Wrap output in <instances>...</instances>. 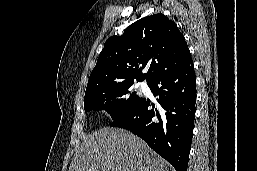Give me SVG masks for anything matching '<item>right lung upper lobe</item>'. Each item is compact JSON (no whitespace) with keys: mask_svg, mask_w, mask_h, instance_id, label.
<instances>
[{"mask_svg":"<svg viewBox=\"0 0 257 171\" xmlns=\"http://www.w3.org/2000/svg\"><path fill=\"white\" fill-rule=\"evenodd\" d=\"M191 59L185 38L173 21L161 13L147 16L128 26L123 35L105 42L86 92L134 79L149 82ZM144 68L146 73H142Z\"/></svg>","mask_w":257,"mask_h":171,"instance_id":"cb5924a9","label":"right lung upper lobe"}]
</instances>
